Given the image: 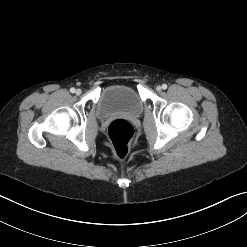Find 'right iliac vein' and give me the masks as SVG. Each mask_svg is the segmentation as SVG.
<instances>
[{
    "label": "right iliac vein",
    "mask_w": 247,
    "mask_h": 247,
    "mask_svg": "<svg viewBox=\"0 0 247 247\" xmlns=\"http://www.w3.org/2000/svg\"><path fill=\"white\" fill-rule=\"evenodd\" d=\"M81 92H82L81 89H77V90H76V94H77V95H80Z\"/></svg>",
    "instance_id": "63e3f726"
}]
</instances>
